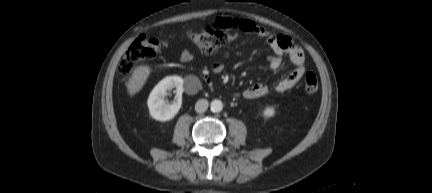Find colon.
I'll return each instance as SVG.
<instances>
[{"mask_svg":"<svg viewBox=\"0 0 432 193\" xmlns=\"http://www.w3.org/2000/svg\"><path fill=\"white\" fill-rule=\"evenodd\" d=\"M190 39L204 52L213 54L227 43V29L214 22L204 27L201 32L191 33ZM164 46V42L159 39L141 35L125 52L118 66L119 72L129 74L139 61L155 58ZM318 86L317 76L313 72L307 73L304 78L305 91L313 94L318 90Z\"/></svg>","mask_w":432,"mask_h":193,"instance_id":"colon-1","label":"colon"}]
</instances>
